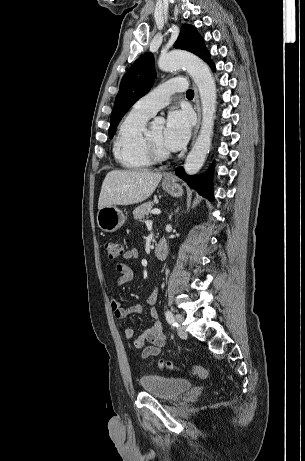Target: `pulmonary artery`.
<instances>
[{"mask_svg":"<svg viewBox=\"0 0 305 461\" xmlns=\"http://www.w3.org/2000/svg\"><path fill=\"white\" fill-rule=\"evenodd\" d=\"M186 87L184 78L176 77L169 79L140 98L133 105V110L151 117L169 103L170 96L173 93L183 92Z\"/></svg>","mask_w":305,"mask_h":461,"instance_id":"obj_1","label":"pulmonary artery"}]
</instances>
